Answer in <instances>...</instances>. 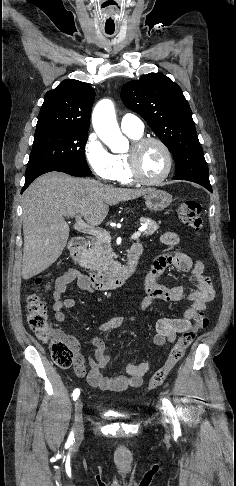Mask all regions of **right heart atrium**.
Wrapping results in <instances>:
<instances>
[{"label": "right heart atrium", "instance_id": "1", "mask_svg": "<svg viewBox=\"0 0 236 486\" xmlns=\"http://www.w3.org/2000/svg\"><path fill=\"white\" fill-rule=\"evenodd\" d=\"M84 156L97 177L107 181L114 180L116 171L114 156L95 133L89 134L86 139Z\"/></svg>", "mask_w": 236, "mask_h": 486}]
</instances>
